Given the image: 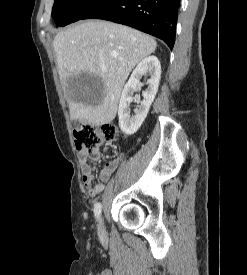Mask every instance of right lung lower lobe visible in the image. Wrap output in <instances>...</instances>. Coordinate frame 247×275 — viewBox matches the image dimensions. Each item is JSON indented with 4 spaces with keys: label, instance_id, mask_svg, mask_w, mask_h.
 <instances>
[{
    "label": "right lung lower lobe",
    "instance_id": "98d812e1",
    "mask_svg": "<svg viewBox=\"0 0 247 275\" xmlns=\"http://www.w3.org/2000/svg\"><path fill=\"white\" fill-rule=\"evenodd\" d=\"M180 0H100L81 19H103L131 26L162 39L170 49Z\"/></svg>",
    "mask_w": 247,
    "mask_h": 275
}]
</instances>
